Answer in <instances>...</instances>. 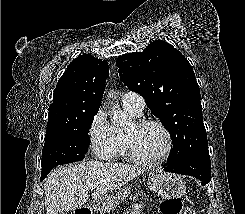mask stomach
<instances>
[{
	"mask_svg": "<svg viewBox=\"0 0 245 214\" xmlns=\"http://www.w3.org/2000/svg\"><path fill=\"white\" fill-rule=\"evenodd\" d=\"M149 188L163 199H177L184 195L186 185L181 177L171 173H159L151 176L148 182ZM130 192L129 187H124L112 197L107 198L105 205L114 209L120 200H124Z\"/></svg>",
	"mask_w": 245,
	"mask_h": 214,
	"instance_id": "obj_1",
	"label": "stomach"
}]
</instances>
